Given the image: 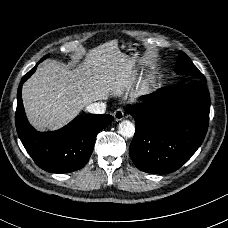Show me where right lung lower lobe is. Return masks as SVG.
I'll use <instances>...</instances> for the list:
<instances>
[{
    "instance_id": "1",
    "label": "right lung lower lobe",
    "mask_w": 228,
    "mask_h": 228,
    "mask_svg": "<svg viewBox=\"0 0 228 228\" xmlns=\"http://www.w3.org/2000/svg\"><path fill=\"white\" fill-rule=\"evenodd\" d=\"M36 68L22 78L17 91L15 123L19 138L34 162L43 170L54 173L79 170L92 154L96 135L111 124L113 117L106 114L78 116L60 130L36 131L27 121L21 98L22 85Z\"/></svg>"
}]
</instances>
